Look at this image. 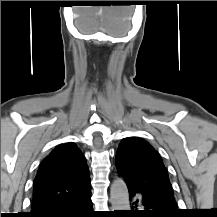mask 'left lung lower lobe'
Segmentation results:
<instances>
[{
    "label": "left lung lower lobe",
    "instance_id": "1",
    "mask_svg": "<svg viewBox=\"0 0 217 217\" xmlns=\"http://www.w3.org/2000/svg\"><path fill=\"white\" fill-rule=\"evenodd\" d=\"M129 189V188H128ZM139 196L137 199L144 206L145 210H134L129 212V216H147V217H177L179 212L168 200L152 194H144L134 189H129V197Z\"/></svg>",
    "mask_w": 217,
    "mask_h": 217
}]
</instances>
